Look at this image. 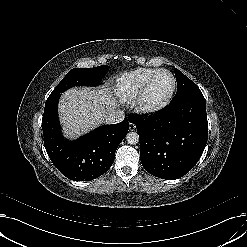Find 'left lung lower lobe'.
<instances>
[{"label":"left lung lower lobe","mask_w":247,"mask_h":247,"mask_svg":"<svg viewBox=\"0 0 247 247\" xmlns=\"http://www.w3.org/2000/svg\"><path fill=\"white\" fill-rule=\"evenodd\" d=\"M128 119L138 131L143 167L162 179L174 180L187 174L207 143L206 102L202 93L170 102L154 115Z\"/></svg>","instance_id":"obj_1"}]
</instances>
